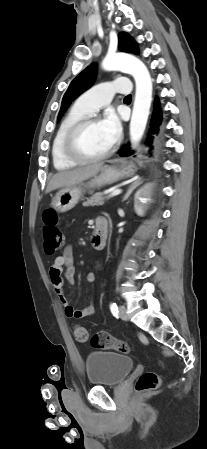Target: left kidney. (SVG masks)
Returning a JSON list of instances; mask_svg holds the SVG:
<instances>
[{
  "instance_id": "obj_1",
  "label": "left kidney",
  "mask_w": 207,
  "mask_h": 449,
  "mask_svg": "<svg viewBox=\"0 0 207 449\" xmlns=\"http://www.w3.org/2000/svg\"><path fill=\"white\" fill-rule=\"evenodd\" d=\"M150 190V185H145L143 188H141L140 190L137 191V193L135 194V211L138 215L142 216L144 214V207L140 204H138L137 199L140 196H146L149 193Z\"/></svg>"
}]
</instances>
